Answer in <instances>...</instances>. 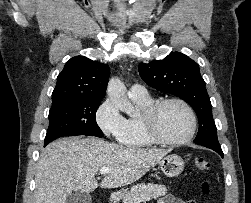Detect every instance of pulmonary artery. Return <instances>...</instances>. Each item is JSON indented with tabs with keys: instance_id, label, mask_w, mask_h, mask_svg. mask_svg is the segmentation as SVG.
<instances>
[{
	"instance_id": "e3ab8cb5",
	"label": "pulmonary artery",
	"mask_w": 251,
	"mask_h": 203,
	"mask_svg": "<svg viewBox=\"0 0 251 203\" xmlns=\"http://www.w3.org/2000/svg\"><path fill=\"white\" fill-rule=\"evenodd\" d=\"M128 95L132 99H145L149 97L147 89L140 84L132 85L128 91Z\"/></svg>"
}]
</instances>
